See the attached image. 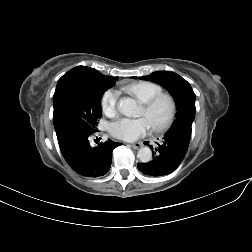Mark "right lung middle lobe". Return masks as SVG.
<instances>
[{"mask_svg": "<svg viewBox=\"0 0 252 252\" xmlns=\"http://www.w3.org/2000/svg\"><path fill=\"white\" fill-rule=\"evenodd\" d=\"M112 87L100 80H74L56 87L53 122L56 134L68 129L96 131L102 94Z\"/></svg>", "mask_w": 252, "mask_h": 252, "instance_id": "obj_1", "label": "right lung middle lobe"}]
</instances>
